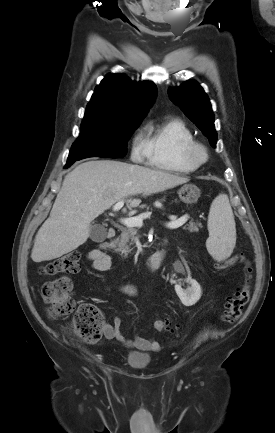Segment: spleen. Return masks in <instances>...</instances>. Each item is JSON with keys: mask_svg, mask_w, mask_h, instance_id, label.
Here are the masks:
<instances>
[{"mask_svg": "<svg viewBox=\"0 0 275 433\" xmlns=\"http://www.w3.org/2000/svg\"><path fill=\"white\" fill-rule=\"evenodd\" d=\"M209 238L206 247L217 261L227 259L236 243V228L228 196L218 195L212 202L208 215Z\"/></svg>", "mask_w": 275, "mask_h": 433, "instance_id": "1", "label": "spleen"}]
</instances>
